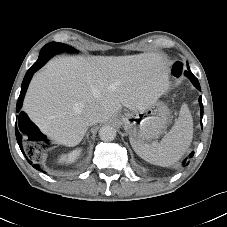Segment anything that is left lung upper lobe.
Returning <instances> with one entry per match:
<instances>
[{"label": "left lung upper lobe", "instance_id": "5c2ea615", "mask_svg": "<svg viewBox=\"0 0 227 227\" xmlns=\"http://www.w3.org/2000/svg\"><path fill=\"white\" fill-rule=\"evenodd\" d=\"M184 74L186 77L190 79L193 85L199 84L198 79L192 74V72L189 69V66H188V71H185Z\"/></svg>", "mask_w": 227, "mask_h": 227}]
</instances>
